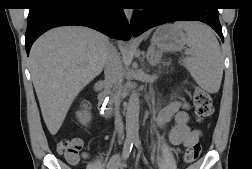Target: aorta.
<instances>
[{
	"label": "aorta",
	"instance_id": "762f6f07",
	"mask_svg": "<svg viewBox=\"0 0 252 169\" xmlns=\"http://www.w3.org/2000/svg\"><path fill=\"white\" fill-rule=\"evenodd\" d=\"M139 93L133 90L129 96L126 109V138L127 141H135L139 138Z\"/></svg>",
	"mask_w": 252,
	"mask_h": 169
}]
</instances>
